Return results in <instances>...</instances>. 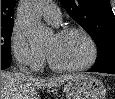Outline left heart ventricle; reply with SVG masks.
<instances>
[{"label": "left heart ventricle", "instance_id": "1", "mask_svg": "<svg viewBox=\"0 0 115 99\" xmlns=\"http://www.w3.org/2000/svg\"><path fill=\"white\" fill-rule=\"evenodd\" d=\"M45 52L50 59L59 66H75L85 62L89 57L87 41L79 34L52 36Z\"/></svg>", "mask_w": 115, "mask_h": 99}]
</instances>
